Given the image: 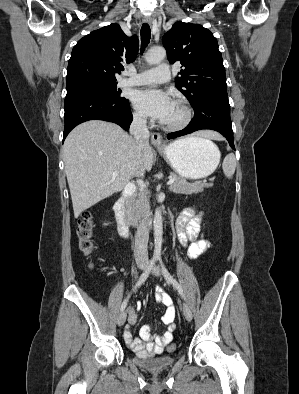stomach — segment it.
<instances>
[{"label":"stomach","instance_id":"stomach-1","mask_svg":"<svg viewBox=\"0 0 299 394\" xmlns=\"http://www.w3.org/2000/svg\"><path fill=\"white\" fill-rule=\"evenodd\" d=\"M159 153L173 170L187 179H201L214 172L220 161V151L211 141L200 137L176 140Z\"/></svg>","mask_w":299,"mask_h":394}]
</instances>
